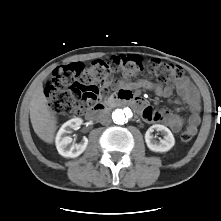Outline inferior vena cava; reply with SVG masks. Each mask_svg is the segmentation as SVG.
I'll return each instance as SVG.
<instances>
[{
    "label": "inferior vena cava",
    "instance_id": "602c4592",
    "mask_svg": "<svg viewBox=\"0 0 221 221\" xmlns=\"http://www.w3.org/2000/svg\"><path fill=\"white\" fill-rule=\"evenodd\" d=\"M99 121L102 125H109L111 123L110 114L106 111H103L99 115Z\"/></svg>",
    "mask_w": 221,
    "mask_h": 221
}]
</instances>
